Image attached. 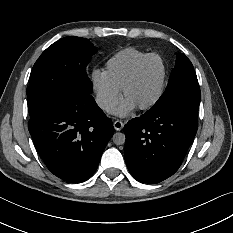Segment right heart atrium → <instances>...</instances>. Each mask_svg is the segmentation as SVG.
I'll use <instances>...</instances> for the list:
<instances>
[{
	"instance_id": "right-heart-atrium-1",
	"label": "right heart atrium",
	"mask_w": 233,
	"mask_h": 233,
	"mask_svg": "<svg viewBox=\"0 0 233 233\" xmlns=\"http://www.w3.org/2000/svg\"><path fill=\"white\" fill-rule=\"evenodd\" d=\"M91 85L95 94V101L103 111H111L122 98V91L116 87L98 68L91 73Z\"/></svg>"
}]
</instances>
